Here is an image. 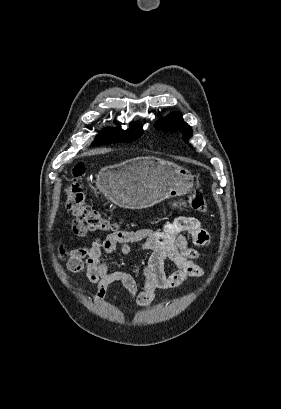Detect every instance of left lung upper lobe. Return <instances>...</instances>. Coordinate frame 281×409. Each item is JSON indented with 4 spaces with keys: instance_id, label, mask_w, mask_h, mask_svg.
Here are the masks:
<instances>
[{
    "instance_id": "left-lung-upper-lobe-1",
    "label": "left lung upper lobe",
    "mask_w": 281,
    "mask_h": 409,
    "mask_svg": "<svg viewBox=\"0 0 281 409\" xmlns=\"http://www.w3.org/2000/svg\"><path fill=\"white\" fill-rule=\"evenodd\" d=\"M155 128L165 131L179 130L183 133V138L185 141L192 136V129L183 121L181 113H171L167 115L165 118L155 124Z\"/></svg>"
}]
</instances>
